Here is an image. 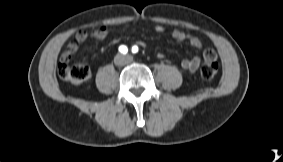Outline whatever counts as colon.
<instances>
[{"mask_svg": "<svg viewBox=\"0 0 283 162\" xmlns=\"http://www.w3.org/2000/svg\"><path fill=\"white\" fill-rule=\"evenodd\" d=\"M219 71V63L212 52H208L201 67L200 74L203 79L211 80ZM59 77L73 85H81L90 77V68L87 65L70 66L67 61L60 60L58 65Z\"/></svg>", "mask_w": 283, "mask_h": 162, "instance_id": "5ec220e1", "label": "colon"}]
</instances>
